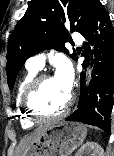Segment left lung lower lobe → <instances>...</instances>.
Here are the masks:
<instances>
[{"label": "left lung lower lobe", "mask_w": 114, "mask_h": 156, "mask_svg": "<svg viewBox=\"0 0 114 156\" xmlns=\"http://www.w3.org/2000/svg\"><path fill=\"white\" fill-rule=\"evenodd\" d=\"M81 34L94 48V69L90 86L80 96L77 110L66 120L94 125L110 134L114 102V29L100 1L92 8L87 27ZM83 78L81 76V88Z\"/></svg>", "instance_id": "left-lung-lower-lobe-1"}]
</instances>
